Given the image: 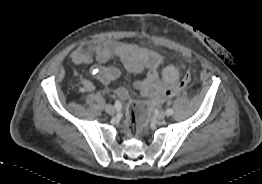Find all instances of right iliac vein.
<instances>
[{"label": "right iliac vein", "mask_w": 262, "mask_h": 184, "mask_svg": "<svg viewBox=\"0 0 262 184\" xmlns=\"http://www.w3.org/2000/svg\"><path fill=\"white\" fill-rule=\"evenodd\" d=\"M105 111L108 114H114L115 108L112 105L108 104V105L105 106Z\"/></svg>", "instance_id": "right-iliac-vein-1"}]
</instances>
